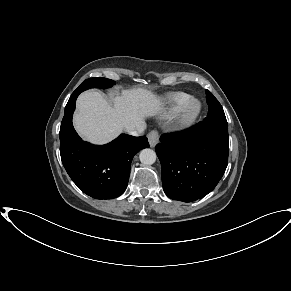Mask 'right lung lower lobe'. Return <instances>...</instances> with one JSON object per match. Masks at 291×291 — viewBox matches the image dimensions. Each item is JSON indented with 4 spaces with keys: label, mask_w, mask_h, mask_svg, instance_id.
I'll return each mask as SVG.
<instances>
[{
    "label": "right lung lower lobe",
    "mask_w": 291,
    "mask_h": 291,
    "mask_svg": "<svg viewBox=\"0 0 291 291\" xmlns=\"http://www.w3.org/2000/svg\"><path fill=\"white\" fill-rule=\"evenodd\" d=\"M76 89L66 107L60 127L61 160L68 175L85 194L96 199H112L125 191L134 155L149 143L145 136L121 134L112 142L96 146L80 139L72 125Z\"/></svg>",
    "instance_id": "obj_1"
}]
</instances>
